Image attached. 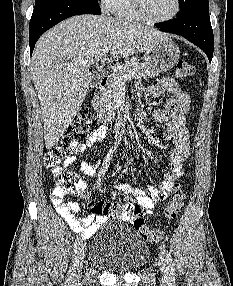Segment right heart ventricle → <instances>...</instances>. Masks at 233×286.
Here are the masks:
<instances>
[{"label":"right heart ventricle","mask_w":233,"mask_h":286,"mask_svg":"<svg viewBox=\"0 0 233 286\" xmlns=\"http://www.w3.org/2000/svg\"><path fill=\"white\" fill-rule=\"evenodd\" d=\"M109 10L119 18L143 20L135 10L131 0H112Z\"/></svg>","instance_id":"e07e8e85"}]
</instances>
